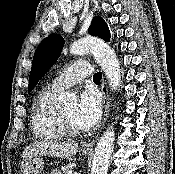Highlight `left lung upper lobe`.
I'll use <instances>...</instances> for the list:
<instances>
[{"instance_id": "5c2ea615", "label": "left lung upper lobe", "mask_w": 175, "mask_h": 174, "mask_svg": "<svg viewBox=\"0 0 175 174\" xmlns=\"http://www.w3.org/2000/svg\"><path fill=\"white\" fill-rule=\"evenodd\" d=\"M89 33L109 41L110 33L106 22L101 17H95L88 29ZM64 45L60 35L52 34L45 38L38 46L30 72L28 92L37 84L38 80L48 71L59 57Z\"/></svg>"}]
</instances>
